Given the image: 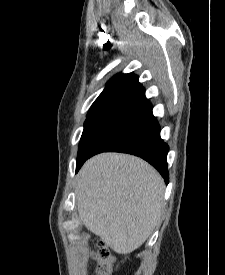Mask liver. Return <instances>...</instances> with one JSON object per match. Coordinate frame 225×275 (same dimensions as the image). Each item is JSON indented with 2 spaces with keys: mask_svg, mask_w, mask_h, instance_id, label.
I'll return each mask as SVG.
<instances>
[{
  "mask_svg": "<svg viewBox=\"0 0 225 275\" xmlns=\"http://www.w3.org/2000/svg\"><path fill=\"white\" fill-rule=\"evenodd\" d=\"M165 184L144 160L119 153L89 159L76 180L82 224L117 253L138 249L159 224Z\"/></svg>",
  "mask_w": 225,
  "mask_h": 275,
  "instance_id": "6515ba94",
  "label": "liver"
}]
</instances>
